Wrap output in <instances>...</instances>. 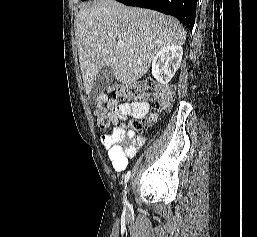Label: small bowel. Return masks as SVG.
Segmentation results:
<instances>
[{"instance_id":"c3829d8e","label":"small bowel","mask_w":257,"mask_h":237,"mask_svg":"<svg viewBox=\"0 0 257 237\" xmlns=\"http://www.w3.org/2000/svg\"><path fill=\"white\" fill-rule=\"evenodd\" d=\"M149 106L146 102L122 103L110 109V118L114 124L112 134L122 133L120 122L126 121L131 117L143 118L147 115ZM131 143L123 147L121 142L113 145L106 144L105 149L116 172H122L127 167L128 161L134 156L138 148L144 143V138L135 136L133 131L128 133Z\"/></svg>"}]
</instances>
